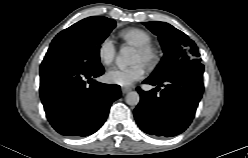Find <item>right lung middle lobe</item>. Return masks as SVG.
Returning <instances> with one entry per match:
<instances>
[{
	"label": "right lung middle lobe",
	"mask_w": 248,
	"mask_h": 158,
	"mask_svg": "<svg viewBox=\"0 0 248 158\" xmlns=\"http://www.w3.org/2000/svg\"><path fill=\"white\" fill-rule=\"evenodd\" d=\"M115 26L116 22L106 17L85 18L53 39L44 60H64L85 66L100 64V45Z\"/></svg>",
	"instance_id": "dd1d6c3e"
}]
</instances>
